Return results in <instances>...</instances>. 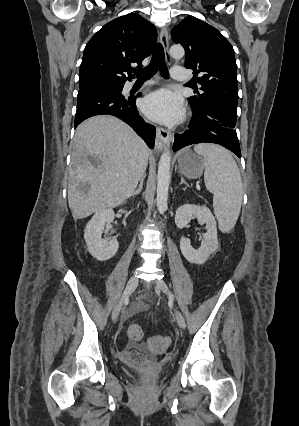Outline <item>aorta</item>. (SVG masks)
Returning a JSON list of instances; mask_svg holds the SVG:
<instances>
[{"instance_id": "1", "label": "aorta", "mask_w": 299, "mask_h": 426, "mask_svg": "<svg viewBox=\"0 0 299 426\" xmlns=\"http://www.w3.org/2000/svg\"><path fill=\"white\" fill-rule=\"evenodd\" d=\"M172 58L179 60L185 55V50L181 45H173L170 48ZM170 163L171 153L166 150L159 160L157 174V209L160 214H164L167 210L168 189L170 184Z\"/></svg>"}]
</instances>
